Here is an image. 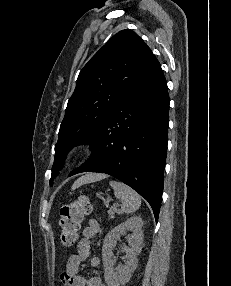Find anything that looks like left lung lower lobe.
<instances>
[{
  "label": "left lung lower lobe",
  "mask_w": 231,
  "mask_h": 286,
  "mask_svg": "<svg viewBox=\"0 0 231 286\" xmlns=\"http://www.w3.org/2000/svg\"><path fill=\"white\" fill-rule=\"evenodd\" d=\"M169 95L160 64L112 109L88 144L93 155L70 176L109 174L132 187L151 205L161 206L169 126Z\"/></svg>",
  "instance_id": "1"
}]
</instances>
